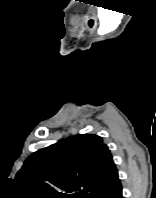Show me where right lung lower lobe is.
<instances>
[{"label": "right lung lower lobe", "mask_w": 156, "mask_h": 198, "mask_svg": "<svg viewBox=\"0 0 156 198\" xmlns=\"http://www.w3.org/2000/svg\"><path fill=\"white\" fill-rule=\"evenodd\" d=\"M107 198H123L122 196V187L117 188L112 194H110Z\"/></svg>", "instance_id": "right-lung-lower-lobe-1"}]
</instances>
